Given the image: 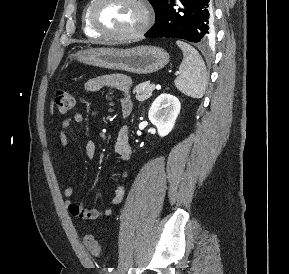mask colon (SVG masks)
<instances>
[{"label":"colon","instance_id":"colon-1","mask_svg":"<svg viewBox=\"0 0 289 274\" xmlns=\"http://www.w3.org/2000/svg\"><path fill=\"white\" fill-rule=\"evenodd\" d=\"M54 102L57 110L62 113H68L74 105V95L67 85H61L56 91ZM84 243L87 250L94 256L101 255V246L93 235H86Z\"/></svg>","mask_w":289,"mask_h":274}]
</instances>
